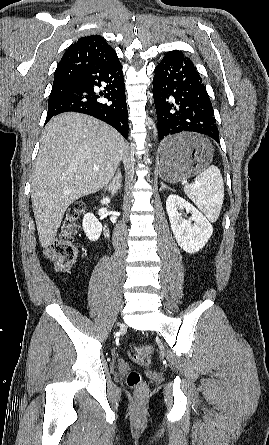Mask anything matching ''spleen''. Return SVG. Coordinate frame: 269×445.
Masks as SVG:
<instances>
[{
  "label": "spleen",
  "instance_id": "obj_1",
  "mask_svg": "<svg viewBox=\"0 0 269 445\" xmlns=\"http://www.w3.org/2000/svg\"><path fill=\"white\" fill-rule=\"evenodd\" d=\"M184 192L210 222L218 219L224 199V183L216 166L210 165L200 172L191 184L184 186Z\"/></svg>",
  "mask_w": 269,
  "mask_h": 445
}]
</instances>
